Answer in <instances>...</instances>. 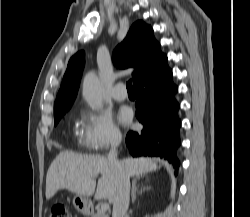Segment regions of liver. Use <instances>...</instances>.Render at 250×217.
Listing matches in <instances>:
<instances>
[{
    "mask_svg": "<svg viewBox=\"0 0 250 217\" xmlns=\"http://www.w3.org/2000/svg\"><path fill=\"white\" fill-rule=\"evenodd\" d=\"M120 164L129 177H139L158 169L156 161L148 157H128L121 160ZM99 174L101 177L96 187L95 178ZM61 189L86 197L95 194V199H108L113 203L116 191L115 170L103 156L61 152L47 171L46 199H51Z\"/></svg>",
    "mask_w": 250,
    "mask_h": 217,
    "instance_id": "liver-1",
    "label": "liver"
}]
</instances>
